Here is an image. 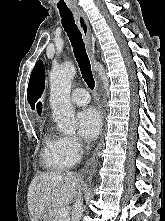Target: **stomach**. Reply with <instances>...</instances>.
I'll use <instances>...</instances> for the list:
<instances>
[{
    "mask_svg": "<svg viewBox=\"0 0 165 221\" xmlns=\"http://www.w3.org/2000/svg\"><path fill=\"white\" fill-rule=\"evenodd\" d=\"M52 215L49 211H46L39 219V221H51Z\"/></svg>",
    "mask_w": 165,
    "mask_h": 221,
    "instance_id": "1",
    "label": "stomach"
}]
</instances>
